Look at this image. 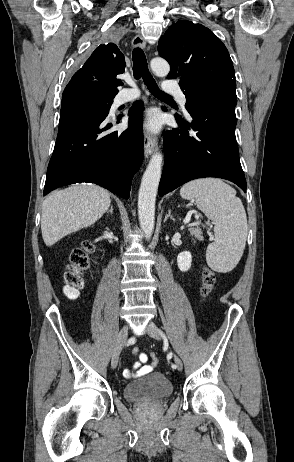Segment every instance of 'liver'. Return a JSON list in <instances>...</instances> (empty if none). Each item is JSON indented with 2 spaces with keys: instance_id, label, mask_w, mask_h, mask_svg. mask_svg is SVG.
<instances>
[{
  "instance_id": "1",
  "label": "liver",
  "mask_w": 294,
  "mask_h": 462,
  "mask_svg": "<svg viewBox=\"0 0 294 462\" xmlns=\"http://www.w3.org/2000/svg\"><path fill=\"white\" fill-rule=\"evenodd\" d=\"M111 203L110 193L95 185L73 186L43 202L41 231L46 246L99 220Z\"/></svg>"
}]
</instances>
